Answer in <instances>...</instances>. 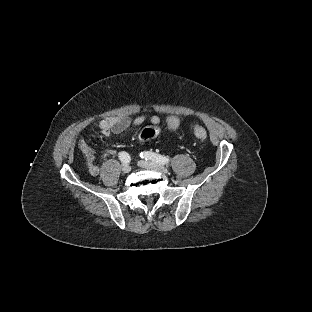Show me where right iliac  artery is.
Returning <instances> with one entry per match:
<instances>
[{"label": "right iliac artery", "mask_w": 312, "mask_h": 312, "mask_svg": "<svg viewBox=\"0 0 312 312\" xmlns=\"http://www.w3.org/2000/svg\"><path fill=\"white\" fill-rule=\"evenodd\" d=\"M119 158L123 163H129L131 160L130 155L126 152H120Z\"/></svg>", "instance_id": "82829eb1"}]
</instances>
